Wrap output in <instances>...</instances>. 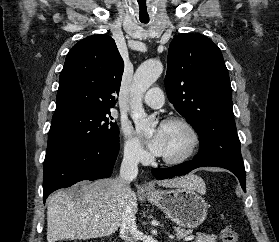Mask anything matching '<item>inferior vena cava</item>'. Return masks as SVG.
<instances>
[{
  "mask_svg": "<svg viewBox=\"0 0 279 242\" xmlns=\"http://www.w3.org/2000/svg\"><path fill=\"white\" fill-rule=\"evenodd\" d=\"M139 152L135 148L124 152L120 167V193L122 198V214L119 223L120 237L125 242H137L138 230L135 222V213L132 208L133 192L130 188L131 181L138 174Z\"/></svg>",
  "mask_w": 279,
  "mask_h": 242,
  "instance_id": "602c4592",
  "label": "inferior vena cava"
}]
</instances>
